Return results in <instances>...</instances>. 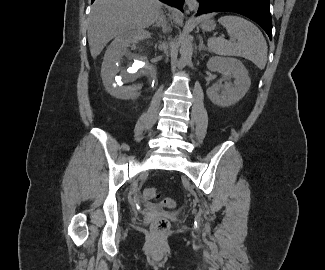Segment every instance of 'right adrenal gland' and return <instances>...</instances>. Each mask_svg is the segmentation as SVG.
<instances>
[{"mask_svg":"<svg viewBox=\"0 0 325 270\" xmlns=\"http://www.w3.org/2000/svg\"><path fill=\"white\" fill-rule=\"evenodd\" d=\"M153 27H161L162 31L164 33H166L167 32V25H166L165 17L163 15H160V17L158 18L156 23L153 25Z\"/></svg>","mask_w":325,"mask_h":270,"instance_id":"1","label":"right adrenal gland"}]
</instances>
